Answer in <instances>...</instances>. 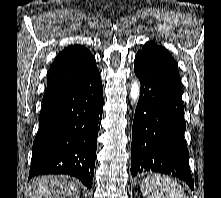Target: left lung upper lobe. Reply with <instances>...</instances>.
<instances>
[{
    "instance_id": "5c2ea615",
    "label": "left lung upper lobe",
    "mask_w": 221,
    "mask_h": 198,
    "mask_svg": "<svg viewBox=\"0 0 221 198\" xmlns=\"http://www.w3.org/2000/svg\"><path fill=\"white\" fill-rule=\"evenodd\" d=\"M137 54L150 60L156 67L170 75L180 84L177 64L164 47L158 46L154 42L150 41L147 42Z\"/></svg>"
}]
</instances>
